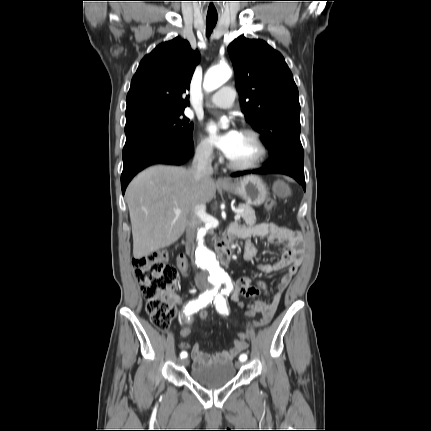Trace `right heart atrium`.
<instances>
[{"instance_id": "obj_1", "label": "right heart atrium", "mask_w": 431, "mask_h": 431, "mask_svg": "<svg viewBox=\"0 0 431 431\" xmlns=\"http://www.w3.org/2000/svg\"><path fill=\"white\" fill-rule=\"evenodd\" d=\"M196 156L204 163H210L214 160L215 154L213 147L208 139L201 137L195 148Z\"/></svg>"}]
</instances>
